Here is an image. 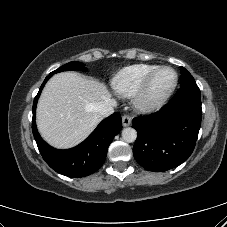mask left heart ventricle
<instances>
[{"mask_svg": "<svg viewBox=\"0 0 227 227\" xmlns=\"http://www.w3.org/2000/svg\"><path fill=\"white\" fill-rule=\"evenodd\" d=\"M175 80V74L171 70L161 71L155 78L150 94L151 96H158L168 90Z\"/></svg>", "mask_w": 227, "mask_h": 227, "instance_id": "obj_1", "label": "left heart ventricle"}]
</instances>
